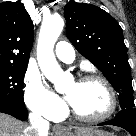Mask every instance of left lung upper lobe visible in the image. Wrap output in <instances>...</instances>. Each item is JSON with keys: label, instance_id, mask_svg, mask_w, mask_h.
<instances>
[{"label": "left lung upper lobe", "instance_id": "1", "mask_svg": "<svg viewBox=\"0 0 136 136\" xmlns=\"http://www.w3.org/2000/svg\"><path fill=\"white\" fill-rule=\"evenodd\" d=\"M64 16L70 42L112 84L121 109L135 108L131 68L118 22L97 6L75 1L66 4Z\"/></svg>", "mask_w": 136, "mask_h": 136}]
</instances>
